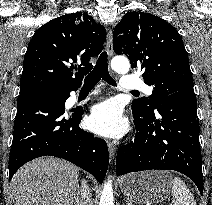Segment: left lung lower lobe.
<instances>
[{
  "label": "left lung lower lobe",
  "instance_id": "obj_1",
  "mask_svg": "<svg viewBox=\"0 0 212 205\" xmlns=\"http://www.w3.org/2000/svg\"><path fill=\"white\" fill-rule=\"evenodd\" d=\"M137 134L134 142L117 153L116 173L142 170H175L188 176L203 192L199 121L194 92L177 91L155 111L133 110Z\"/></svg>",
  "mask_w": 212,
  "mask_h": 205
}]
</instances>
